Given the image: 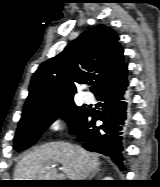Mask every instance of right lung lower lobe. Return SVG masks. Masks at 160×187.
<instances>
[{
  "label": "right lung lower lobe",
  "instance_id": "98d812e1",
  "mask_svg": "<svg viewBox=\"0 0 160 187\" xmlns=\"http://www.w3.org/2000/svg\"><path fill=\"white\" fill-rule=\"evenodd\" d=\"M127 65L113 78L104 81L94 92L101 102V109H87L86 115L70 132L76 134L77 141L88 151L109 156L124 170L122 144L120 136L126 118V103L123 94L128 85ZM102 125L96 126V121Z\"/></svg>",
  "mask_w": 160,
  "mask_h": 187
}]
</instances>
